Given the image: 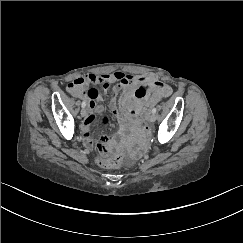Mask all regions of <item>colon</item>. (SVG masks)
Listing matches in <instances>:
<instances>
[{
    "label": "colon",
    "mask_w": 243,
    "mask_h": 243,
    "mask_svg": "<svg viewBox=\"0 0 243 243\" xmlns=\"http://www.w3.org/2000/svg\"><path fill=\"white\" fill-rule=\"evenodd\" d=\"M101 128H107L111 124V119L109 116L105 115L101 118L99 122ZM99 163L102 166H107V167H121L124 164V158L121 156H111L109 158H100Z\"/></svg>",
    "instance_id": "1"
}]
</instances>
